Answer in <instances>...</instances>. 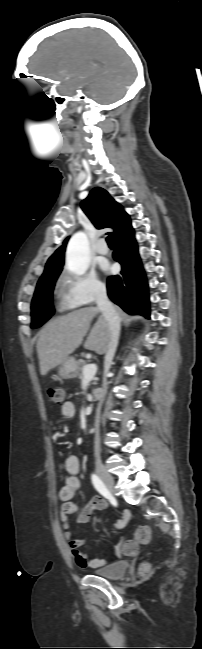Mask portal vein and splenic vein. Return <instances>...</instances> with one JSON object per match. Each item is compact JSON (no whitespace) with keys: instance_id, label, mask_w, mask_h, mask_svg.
I'll return each mask as SVG.
<instances>
[{"instance_id":"obj_1","label":"portal vein and splenic vein","mask_w":202,"mask_h":649,"mask_svg":"<svg viewBox=\"0 0 202 649\" xmlns=\"http://www.w3.org/2000/svg\"><path fill=\"white\" fill-rule=\"evenodd\" d=\"M97 372V366L95 364H88L84 366L82 374L83 380H92Z\"/></svg>"}]
</instances>
